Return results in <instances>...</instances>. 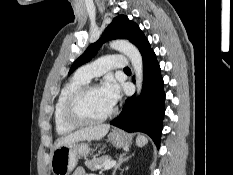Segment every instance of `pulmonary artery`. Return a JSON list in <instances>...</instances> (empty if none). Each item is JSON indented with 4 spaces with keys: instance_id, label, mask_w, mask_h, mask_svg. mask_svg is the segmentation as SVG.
<instances>
[{
    "instance_id": "e3ab8cb5",
    "label": "pulmonary artery",
    "mask_w": 233,
    "mask_h": 175,
    "mask_svg": "<svg viewBox=\"0 0 233 175\" xmlns=\"http://www.w3.org/2000/svg\"><path fill=\"white\" fill-rule=\"evenodd\" d=\"M128 66V59L124 55L109 54L98 60L87 63L80 67L76 75L86 81L93 77L100 76L110 69H125Z\"/></svg>"
}]
</instances>
